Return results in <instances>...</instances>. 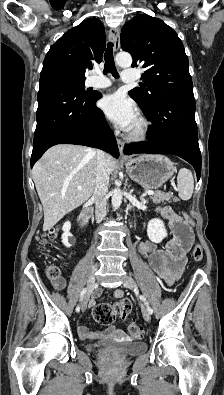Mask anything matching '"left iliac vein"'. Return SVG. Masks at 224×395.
Segmentation results:
<instances>
[{"label":"left iliac vein","instance_id":"left-iliac-vein-1","mask_svg":"<svg viewBox=\"0 0 224 395\" xmlns=\"http://www.w3.org/2000/svg\"><path fill=\"white\" fill-rule=\"evenodd\" d=\"M124 287L129 288V289H135L137 287V285H136L135 280L132 277L126 276L125 280H124ZM141 309H142L144 319L146 321H150L151 316H150L147 306L145 304H142Z\"/></svg>","mask_w":224,"mask_h":395}]
</instances>
